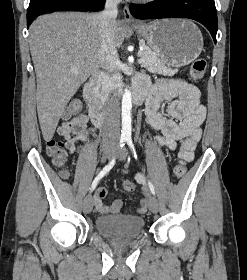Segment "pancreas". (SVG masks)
Here are the masks:
<instances>
[{"instance_id": "obj_1", "label": "pancreas", "mask_w": 247, "mask_h": 280, "mask_svg": "<svg viewBox=\"0 0 247 280\" xmlns=\"http://www.w3.org/2000/svg\"><path fill=\"white\" fill-rule=\"evenodd\" d=\"M140 45L143 47L141 52V57L144 59L142 63V67L148 70L151 73H158L160 75H168L173 76L177 73V69H171L169 66H166L164 62H162L156 54L150 49L149 46L145 45L144 42H141ZM119 78L115 77L113 79L106 78L100 85V94L101 98H105L109 90L113 87H117L119 85Z\"/></svg>"}]
</instances>
